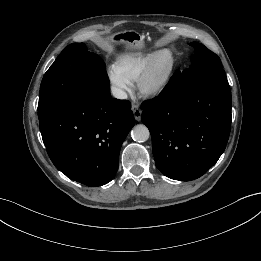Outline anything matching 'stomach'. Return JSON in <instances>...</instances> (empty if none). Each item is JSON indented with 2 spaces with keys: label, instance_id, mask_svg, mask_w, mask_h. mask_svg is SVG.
Listing matches in <instances>:
<instances>
[{
  "label": "stomach",
  "instance_id": "0dacf381",
  "mask_svg": "<svg viewBox=\"0 0 261 261\" xmlns=\"http://www.w3.org/2000/svg\"><path fill=\"white\" fill-rule=\"evenodd\" d=\"M111 40L123 45L128 50H137L144 46L143 37L134 30L118 32L111 36Z\"/></svg>",
  "mask_w": 261,
  "mask_h": 261
}]
</instances>
